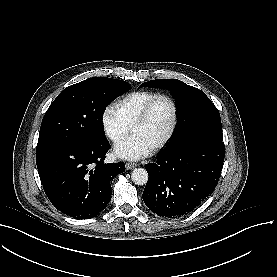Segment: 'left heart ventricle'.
Here are the masks:
<instances>
[{"label":"left heart ventricle","instance_id":"left-heart-ventricle-1","mask_svg":"<svg viewBox=\"0 0 277 277\" xmlns=\"http://www.w3.org/2000/svg\"><path fill=\"white\" fill-rule=\"evenodd\" d=\"M171 109L165 101H157L150 108L145 122L139 129L138 136L148 144L158 141L164 134L169 123Z\"/></svg>","mask_w":277,"mask_h":277}]
</instances>
